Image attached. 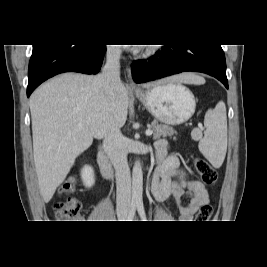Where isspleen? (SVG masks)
<instances>
[{
  "instance_id": "obj_1",
  "label": "spleen",
  "mask_w": 267,
  "mask_h": 267,
  "mask_svg": "<svg viewBox=\"0 0 267 267\" xmlns=\"http://www.w3.org/2000/svg\"><path fill=\"white\" fill-rule=\"evenodd\" d=\"M204 126L206 130L199 150L215 168H219L227 151V117L223 101L207 112Z\"/></svg>"
}]
</instances>
